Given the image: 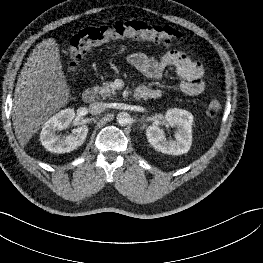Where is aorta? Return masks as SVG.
Instances as JSON below:
<instances>
[{"label": "aorta", "instance_id": "762f6f07", "mask_svg": "<svg viewBox=\"0 0 263 263\" xmlns=\"http://www.w3.org/2000/svg\"><path fill=\"white\" fill-rule=\"evenodd\" d=\"M131 121V117L127 112H120L117 115V122L121 126H125L129 124Z\"/></svg>", "mask_w": 263, "mask_h": 263}]
</instances>
